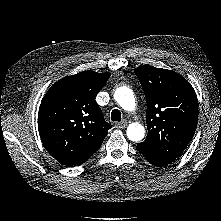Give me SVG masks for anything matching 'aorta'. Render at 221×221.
Wrapping results in <instances>:
<instances>
[{
  "instance_id": "762f6f07",
  "label": "aorta",
  "mask_w": 221,
  "mask_h": 221,
  "mask_svg": "<svg viewBox=\"0 0 221 221\" xmlns=\"http://www.w3.org/2000/svg\"><path fill=\"white\" fill-rule=\"evenodd\" d=\"M116 102L126 111H133L136 107L134 94L128 87H119L114 94ZM145 129L138 122H133L127 127V136L131 141H141L144 138Z\"/></svg>"
}]
</instances>
